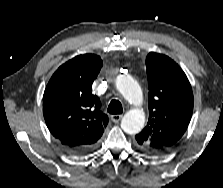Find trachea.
Wrapping results in <instances>:
<instances>
[{"label": "trachea", "mask_w": 223, "mask_h": 188, "mask_svg": "<svg viewBox=\"0 0 223 188\" xmlns=\"http://www.w3.org/2000/svg\"><path fill=\"white\" fill-rule=\"evenodd\" d=\"M107 111L110 113V114H121L123 112V107H122V104L119 100H112L108 106V109Z\"/></svg>", "instance_id": "3493384b"}]
</instances>
